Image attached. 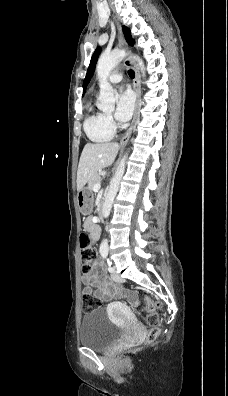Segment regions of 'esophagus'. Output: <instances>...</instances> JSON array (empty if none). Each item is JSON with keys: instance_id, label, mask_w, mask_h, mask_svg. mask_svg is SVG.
<instances>
[{"instance_id": "esophagus-1", "label": "esophagus", "mask_w": 228, "mask_h": 396, "mask_svg": "<svg viewBox=\"0 0 228 396\" xmlns=\"http://www.w3.org/2000/svg\"><path fill=\"white\" fill-rule=\"evenodd\" d=\"M118 39H119V43H120L121 47L127 50L128 46H127V43L123 37L121 28L119 26H118ZM124 63L126 66H131L135 72L133 88L136 93V104H135V110H134V115H133L131 125H130L128 131L126 132L125 136L120 141L121 146H125L127 144L128 140L130 138V135L133 131L134 124H135L137 116H138L139 100H140V73H139V70H138L136 64L134 63V61L132 59H130L129 57L125 58Z\"/></svg>"}]
</instances>
